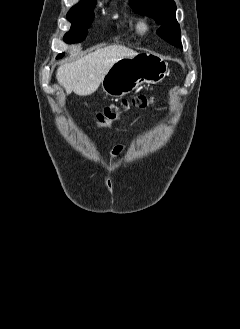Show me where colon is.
<instances>
[{"label": "colon", "mask_w": 240, "mask_h": 329, "mask_svg": "<svg viewBox=\"0 0 240 329\" xmlns=\"http://www.w3.org/2000/svg\"><path fill=\"white\" fill-rule=\"evenodd\" d=\"M149 103V100L147 97L143 95H138L132 98L130 101L125 100L122 105L124 107H136L138 109H144L147 107ZM120 115V109L117 106L111 105L103 109L99 114H98V121L101 124H106L107 122L113 121L117 119Z\"/></svg>", "instance_id": "5ec220e1"}]
</instances>
